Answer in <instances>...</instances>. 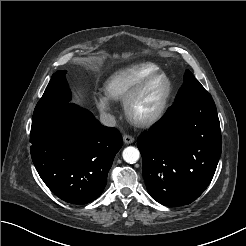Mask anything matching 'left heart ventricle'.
<instances>
[{
    "mask_svg": "<svg viewBox=\"0 0 246 246\" xmlns=\"http://www.w3.org/2000/svg\"><path fill=\"white\" fill-rule=\"evenodd\" d=\"M166 91L167 82L164 78L153 81L136 102L135 112L141 116L154 112L160 105Z\"/></svg>",
    "mask_w": 246,
    "mask_h": 246,
    "instance_id": "1",
    "label": "left heart ventricle"
}]
</instances>
